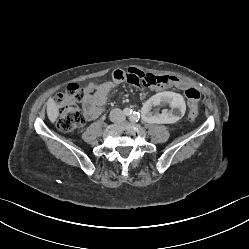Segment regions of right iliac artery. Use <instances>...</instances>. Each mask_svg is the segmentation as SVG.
Masks as SVG:
<instances>
[{"label":"right iliac artery","mask_w":249,"mask_h":249,"mask_svg":"<svg viewBox=\"0 0 249 249\" xmlns=\"http://www.w3.org/2000/svg\"><path fill=\"white\" fill-rule=\"evenodd\" d=\"M123 113H124L126 116H130V115L132 114V110L129 109V108H125V109L123 110Z\"/></svg>","instance_id":"1"}]
</instances>
